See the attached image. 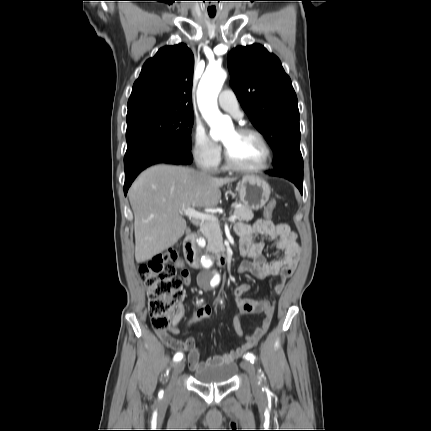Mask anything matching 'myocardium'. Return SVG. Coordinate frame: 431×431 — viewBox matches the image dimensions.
<instances>
[{
    "mask_svg": "<svg viewBox=\"0 0 431 431\" xmlns=\"http://www.w3.org/2000/svg\"><path fill=\"white\" fill-rule=\"evenodd\" d=\"M236 131L240 134H251L256 136L265 149V159L263 163L255 167L241 166L232 160V158L228 153L227 148L225 147L224 156H225L226 166L233 171L242 172V173H256V172L264 171L267 168H269L273 159V151L265 136L259 130L252 127L242 126V127H238Z\"/></svg>",
    "mask_w": 431,
    "mask_h": 431,
    "instance_id": "obj_1",
    "label": "myocardium"
}]
</instances>
